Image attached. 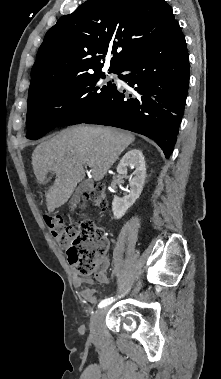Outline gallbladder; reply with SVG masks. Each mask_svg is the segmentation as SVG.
Returning a JSON list of instances; mask_svg holds the SVG:
<instances>
[{"label":"gallbladder","mask_w":221,"mask_h":379,"mask_svg":"<svg viewBox=\"0 0 221 379\" xmlns=\"http://www.w3.org/2000/svg\"><path fill=\"white\" fill-rule=\"evenodd\" d=\"M89 189V182L84 181L79 184V186L76 188L75 192L72 195V198L69 201L70 209L73 211L77 205L80 202V198L83 192L87 191Z\"/></svg>","instance_id":"obj_1"}]
</instances>
